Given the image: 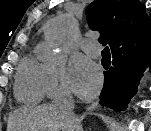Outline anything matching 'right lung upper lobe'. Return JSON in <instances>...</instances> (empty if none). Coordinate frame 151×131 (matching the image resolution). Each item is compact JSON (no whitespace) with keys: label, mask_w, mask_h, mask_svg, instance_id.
<instances>
[{"label":"right lung upper lobe","mask_w":151,"mask_h":131,"mask_svg":"<svg viewBox=\"0 0 151 131\" xmlns=\"http://www.w3.org/2000/svg\"><path fill=\"white\" fill-rule=\"evenodd\" d=\"M139 0H95L86 10L92 30H99L100 43H108L112 54L130 48L141 56L151 53V19Z\"/></svg>","instance_id":"obj_1"}]
</instances>
